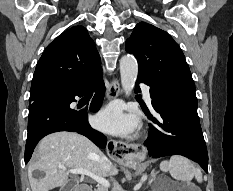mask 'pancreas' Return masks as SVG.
Segmentation results:
<instances>
[{
  "mask_svg": "<svg viewBox=\"0 0 233 191\" xmlns=\"http://www.w3.org/2000/svg\"><path fill=\"white\" fill-rule=\"evenodd\" d=\"M95 191H107V189L100 187V188L96 189Z\"/></svg>",
  "mask_w": 233,
  "mask_h": 191,
  "instance_id": "pancreas-1",
  "label": "pancreas"
}]
</instances>
